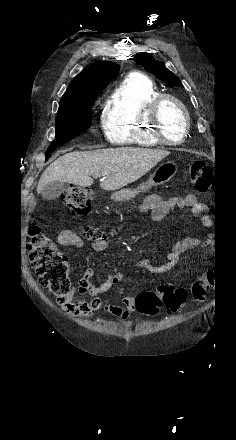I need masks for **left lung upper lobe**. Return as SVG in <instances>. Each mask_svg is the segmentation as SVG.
I'll list each match as a JSON object with an SVG mask.
<instances>
[{
	"mask_svg": "<svg viewBox=\"0 0 236 440\" xmlns=\"http://www.w3.org/2000/svg\"><path fill=\"white\" fill-rule=\"evenodd\" d=\"M134 60L153 73L157 78L171 86H182L180 79L168 70L163 62L155 60L148 53H139L134 56Z\"/></svg>",
	"mask_w": 236,
	"mask_h": 440,
	"instance_id": "5c2ea615",
	"label": "left lung upper lobe"
}]
</instances>
